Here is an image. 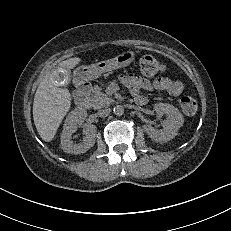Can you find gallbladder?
<instances>
[{"instance_id":"gallbladder-1","label":"gallbladder","mask_w":231,"mask_h":231,"mask_svg":"<svg viewBox=\"0 0 231 231\" xmlns=\"http://www.w3.org/2000/svg\"><path fill=\"white\" fill-rule=\"evenodd\" d=\"M50 80L58 86H65L70 81V72L65 67H55L50 72Z\"/></svg>"}]
</instances>
